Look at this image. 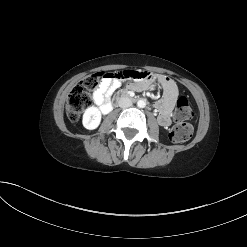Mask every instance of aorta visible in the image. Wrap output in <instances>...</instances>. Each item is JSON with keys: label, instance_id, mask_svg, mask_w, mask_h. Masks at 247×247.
I'll use <instances>...</instances> for the list:
<instances>
[{"label": "aorta", "instance_id": "obj_1", "mask_svg": "<svg viewBox=\"0 0 247 247\" xmlns=\"http://www.w3.org/2000/svg\"><path fill=\"white\" fill-rule=\"evenodd\" d=\"M137 106H138L139 108H144V107L146 106V101L143 100V99L138 100Z\"/></svg>", "mask_w": 247, "mask_h": 247}]
</instances>
